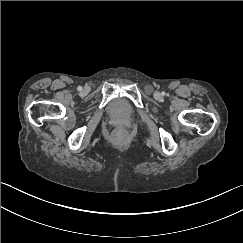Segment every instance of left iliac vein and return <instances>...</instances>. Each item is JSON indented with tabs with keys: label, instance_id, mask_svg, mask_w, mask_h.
Wrapping results in <instances>:
<instances>
[{
	"label": "left iliac vein",
	"instance_id": "obj_1",
	"mask_svg": "<svg viewBox=\"0 0 243 243\" xmlns=\"http://www.w3.org/2000/svg\"><path fill=\"white\" fill-rule=\"evenodd\" d=\"M154 96H155L156 99H160L161 98V94L159 92L155 93Z\"/></svg>",
	"mask_w": 243,
	"mask_h": 243
}]
</instances>
